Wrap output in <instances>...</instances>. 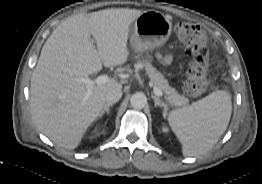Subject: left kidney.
I'll return each instance as SVG.
<instances>
[{
	"instance_id": "1",
	"label": "left kidney",
	"mask_w": 262,
	"mask_h": 184,
	"mask_svg": "<svg viewBox=\"0 0 262 184\" xmlns=\"http://www.w3.org/2000/svg\"><path fill=\"white\" fill-rule=\"evenodd\" d=\"M162 131H163L164 133H167V132L169 131V129H168L166 126H163V127H162Z\"/></svg>"
}]
</instances>
